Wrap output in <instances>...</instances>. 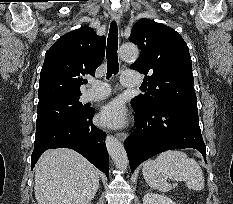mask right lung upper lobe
<instances>
[{"label": "right lung upper lobe", "instance_id": "cb5924a9", "mask_svg": "<svg viewBox=\"0 0 233 204\" xmlns=\"http://www.w3.org/2000/svg\"><path fill=\"white\" fill-rule=\"evenodd\" d=\"M105 36L82 26L60 37L46 52L40 73L39 102L59 96L81 95L83 76L95 75L105 55Z\"/></svg>", "mask_w": 233, "mask_h": 204}]
</instances>
